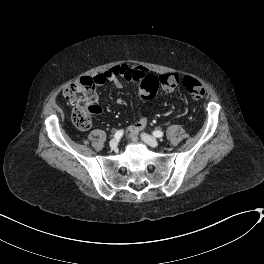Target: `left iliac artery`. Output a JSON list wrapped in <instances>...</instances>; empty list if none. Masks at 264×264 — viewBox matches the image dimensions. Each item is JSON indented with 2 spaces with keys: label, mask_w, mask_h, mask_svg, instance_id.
<instances>
[{
  "label": "left iliac artery",
  "mask_w": 264,
  "mask_h": 264,
  "mask_svg": "<svg viewBox=\"0 0 264 264\" xmlns=\"http://www.w3.org/2000/svg\"><path fill=\"white\" fill-rule=\"evenodd\" d=\"M153 135H154L155 137L160 138V137L163 136V132L160 131V130H155V131H153Z\"/></svg>",
  "instance_id": "1"
}]
</instances>
